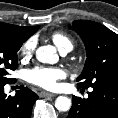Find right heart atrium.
Returning a JSON list of instances; mask_svg holds the SVG:
<instances>
[{"label":"right heart atrium","instance_id":"d8ad5b80","mask_svg":"<svg viewBox=\"0 0 118 118\" xmlns=\"http://www.w3.org/2000/svg\"><path fill=\"white\" fill-rule=\"evenodd\" d=\"M37 46V38L31 36L26 39L19 48V55L23 60H28L32 57Z\"/></svg>","mask_w":118,"mask_h":118}]
</instances>
